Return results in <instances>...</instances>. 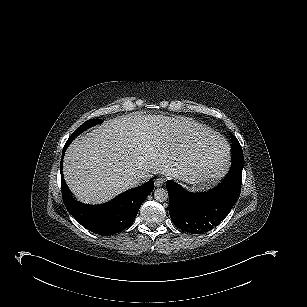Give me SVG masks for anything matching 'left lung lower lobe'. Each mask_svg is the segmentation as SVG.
Masks as SVG:
<instances>
[{"label": "left lung lower lobe", "instance_id": "left-lung-lower-lobe-1", "mask_svg": "<svg viewBox=\"0 0 307 307\" xmlns=\"http://www.w3.org/2000/svg\"><path fill=\"white\" fill-rule=\"evenodd\" d=\"M243 164L233 162L222 182L203 193L187 192L177 183L168 180L169 214L174 225L192 234H203L219 225L238 198Z\"/></svg>", "mask_w": 307, "mask_h": 307}]
</instances>
